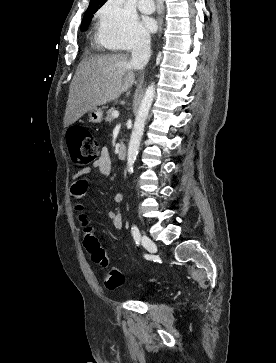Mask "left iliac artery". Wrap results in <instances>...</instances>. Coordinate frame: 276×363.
<instances>
[{
	"label": "left iliac artery",
	"mask_w": 276,
	"mask_h": 363,
	"mask_svg": "<svg viewBox=\"0 0 276 363\" xmlns=\"http://www.w3.org/2000/svg\"><path fill=\"white\" fill-rule=\"evenodd\" d=\"M131 233H132V236H133L134 240L136 241V244H139L140 233H139V229H138V227L136 225L132 226Z\"/></svg>",
	"instance_id": "obj_1"
}]
</instances>
